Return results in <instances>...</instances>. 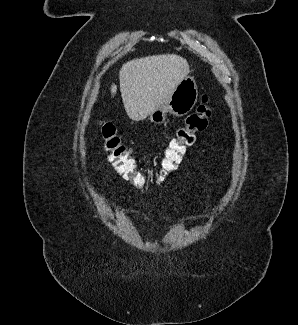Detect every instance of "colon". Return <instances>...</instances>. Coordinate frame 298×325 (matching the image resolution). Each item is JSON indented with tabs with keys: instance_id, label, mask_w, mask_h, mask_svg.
I'll use <instances>...</instances> for the list:
<instances>
[{
	"instance_id": "5ec220e1",
	"label": "colon",
	"mask_w": 298,
	"mask_h": 325,
	"mask_svg": "<svg viewBox=\"0 0 298 325\" xmlns=\"http://www.w3.org/2000/svg\"><path fill=\"white\" fill-rule=\"evenodd\" d=\"M211 115V101L207 95H203L196 111L186 118L184 125L177 129L175 136L164 149L158 173L160 181H163L177 168L186 148L194 143L196 133L206 129ZM100 131L104 150L117 172L136 188L146 189L147 180L138 168L131 152L122 143L115 125L110 122H103L100 125Z\"/></svg>"
}]
</instances>
